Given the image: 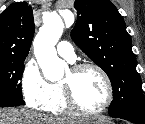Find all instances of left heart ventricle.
<instances>
[{
    "label": "left heart ventricle",
    "mask_w": 145,
    "mask_h": 124,
    "mask_svg": "<svg viewBox=\"0 0 145 124\" xmlns=\"http://www.w3.org/2000/svg\"><path fill=\"white\" fill-rule=\"evenodd\" d=\"M63 82L69 83L75 99L86 110L99 108L106 98V87L102 77L93 69L73 74L70 70Z\"/></svg>",
    "instance_id": "left-heart-ventricle-1"
}]
</instances>
